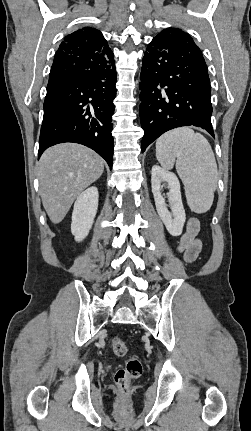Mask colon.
I'll return each mask as SVG.
<instances>
[{
  "instance_id": "colon-1",
  "label": "colon",
  "mask_w": 251,
  "mask_h": 431,
  "mask_svg": "<svg viewBox=\"0 0 251 431\" xmlns=\"http://www.w3.org/2000/svg\"><path fill=\"white\" fill-rule=\"evenodd\" d=\"M111 348L114 354L119 357H123L127 353L126 344L120 337H114L112 339ZM142 372L143 366L137 357L128 358L124 367L116 371L114 380L122 395L127 393L130 382L139 378Z\"/></svg>"
}]
</instances>
